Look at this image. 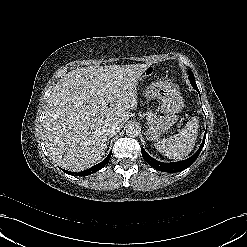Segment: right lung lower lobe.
I'll use <instances>...</instances> for the list:
<instances>
[{"instance_id": "1", "label": "right lung lower lobe", "mask_w": 247, "mask_h": 247, "mask_svg": "<svg viewBox=\"0 0 247 247\" xmlns=\"http://www.w3.org/2000/svg\"><path fill=\"white\" fill-rule=\"evenodd\" d=\"M111 153H112V151L108 154V156L101 163L94 165L93 167H91L90 169H87L85 171L77 173V172L66 171L63 169L62 170L69 175H75V176H87V175L93 174V173L99 171L100 169H102L107 164V162L109 161V159L111 157Z\"/></svg>"}]
</instances>
